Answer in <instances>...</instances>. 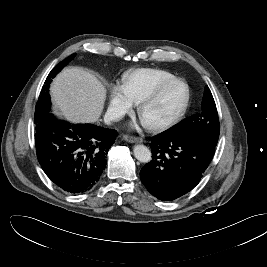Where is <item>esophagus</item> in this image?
Here are the masks:
<instances>
[{"label": "esophagus", "instance_id": "obj_1", "mask_svg": "<svg viewBox=\"0 0 267 267\" xmlns=\"http://www.w3.org/2000/svg\"><path fill=\"white\" fill-rule=\"evenodd\" d=\"M123 139L127 142L130 143H141L143 142V139L140 137H135V136H129V135H125L123 136Z\"/></svg>", "mask_w": 267, "mask_h": 267}]
</instances>
